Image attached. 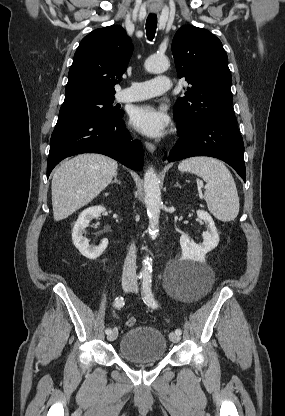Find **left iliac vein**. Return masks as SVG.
<instances>
[{
    "label": "left iliac vein",
    "mask_w": 285,
    "mask_h": 416,
    "mask_svg": "<svg viewBox=\"0 0 285 416\" xmlns=\"http://www.w3.org/2000/svg\"><path fill=\"white\" fill-rule=\"evenodd\" d=\"M129 291L137 292L138 291V283L134 282V284L129 288ZM169 338L173 343H178L180 341V335H178L174 332L170 333Z\"/></svg>",
    "instance_id": "obj_1"
}]
</instances>
